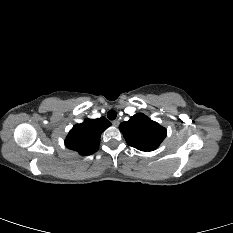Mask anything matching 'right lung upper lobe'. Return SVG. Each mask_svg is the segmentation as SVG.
I'll list each match as a JSON object with an SVG mask.
<instances>
[{"label": "right lung upper lobe", "instance_id": "1", "mask_svg": "<svg viewBox=\"0 0 233 233\" xmlns=\"http://www.w3.org/2000/svg\"><path fill=\"white\" fill-rule=\"evenodd\" d=\"M110 125L104 117L86 119L83 123L73 126L66 137L65 145L81 155L93 154L99 149L101 133Z\"/></svg>", "mask_w": 233, "mask_h": 233}]
</instances>
